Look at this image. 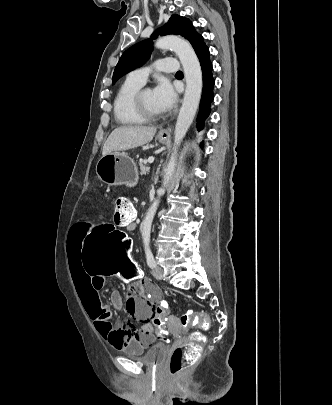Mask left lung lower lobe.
Returning <instances> with one entry per match:
<instances>
[{
  "instance_id": "1",
  "label": "left lung lower lobe",
  "mask_w": 332,
  "mask_h": 405,
  "mask_svg": "<svg viewBox=\"0 0 332 405\" xmlns=\"http://www.w3.org/2000/svg\"><path fill=\"white\" fill-rule=\"evenodd\" d=\"M200 65L203 73V90L201 96V102L199 107V113L197 116V130L200 131L204 127V121L210 114L211 103L214 99L213 87L215 84L212 76V63L210 61L209 48L205 45L198 53Z\"/></svg>"
}]
</instances>
